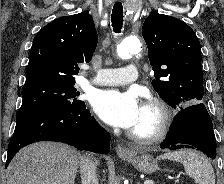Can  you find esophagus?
<instances>
[{"label": "esophagus", "mask_w": 224, "mask_h": 184, "mask_svg": "<svg viewBox=\"0 0 224 184\" xmlns=\"http://www.w3.org/2000/svg\"><path fill=\"white\" fill-rule=\"evenodd\" d=\"M116 153L119 155V156H129L131 153L130 151L123 145L121 144H118L117 147H116Z\"/></svg>", "instance_id": "obj_1"}]
</instances>
